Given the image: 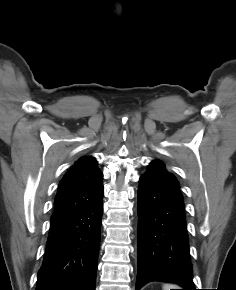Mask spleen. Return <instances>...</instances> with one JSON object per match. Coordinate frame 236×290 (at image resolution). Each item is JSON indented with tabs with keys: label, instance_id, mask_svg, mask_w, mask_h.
Returning <instances> with one entry per match:
<instances>
[{
	"label": "spleen",
	"instance_id": "3e777b00",
	"mask_svg": "<svg viewBox=\"0 0 236 290\" xmlns=\"http://www.w3.org/2000/svg\"><path fill=\"white\" fill-rule=\"evenodd\" d=\"M172 287H176V285L166 284V285L163 286V290L175 289V288H172Z\"/></svg>",
	"mask_w": 236,
	"mask_h": 290
}]
</instances>
